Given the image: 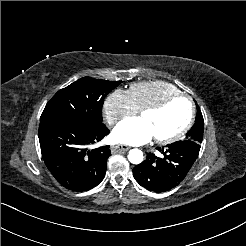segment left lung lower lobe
<instances>
[{
	"label": "left lung lower lobe",
	"mask_w": 246,
	"mask_h": 246,
	"mask_svg": "<svg viewBox=\"0 0 246 246\" xmlns=\"http://www.w3.org/2000/svg\"><path fill=\"white\" fill-rule=\"evenodd\" d=\"M156 149L163 155L147 153L146 160L133 168V175L141 186L160 193L174 188L186 177L199 154L200 144L183 140Z\"/></svg>",
	"instance_id": "left-lung-lower-lobe-1"
}]
</instances>
